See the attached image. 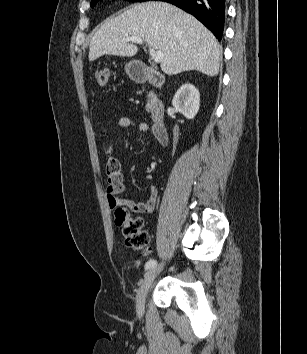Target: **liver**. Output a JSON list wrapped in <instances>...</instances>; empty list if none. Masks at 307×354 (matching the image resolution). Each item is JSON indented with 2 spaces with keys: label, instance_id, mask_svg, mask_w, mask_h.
<instances>
[{
  "label": "liver",
  "instance_id": "liver-1",
  "mask_svg": "<svg viewBox=\"0 0 307 354\" xmlns=\"http://www.w3.org/2000/svg\"><path fill=\"white\" fill-rule=\"evenodd\" d=\"M127 36L139 37L162 51L160 67L168 75L197 70L216 76L219 72L222 51L215 36L192 15L171 4L138 3L106 21L91 39L89 61L103 55H136L138 48L124 41Z\"/></svg>",
  "mask_w": 307,
  "mask_h": 354
}]
</instances>
